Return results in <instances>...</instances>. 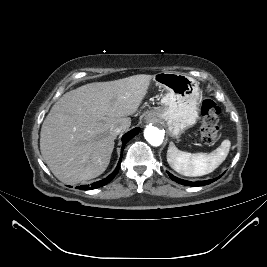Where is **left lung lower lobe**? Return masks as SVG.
Wrapping results in <instances>:
<instances>
[{"instance_id":"0a47b994","label":"left lung lower lobe","mask_w":267,"mask_h":267,"mask_svg":"<svg viewBox=\"0 0 267 267\" xmlns=\"http://www.w3.org/2000/svg\"><path fill=\"white\" fill-rule=\"evenodd\" d=\"M167 174L169 175V177H170L173 181H176V182H178V183H180V184L187 185V186H201V185L210 184L211 182H214L215 180H217L218 178L221 177V176H219L218 178L211 179V180H206V181L190 182V181H186V180L179 179V178L173 176L172 174H170L169 172H167Z\"/></svg>"}]
</instances>
